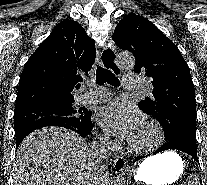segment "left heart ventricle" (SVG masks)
Listing matches in <instances>:
<instances>
[{"mask_svg":"<svg viewBox=\"0 0 207 185\" xmlns=\"http://www.w3.org/2000/svg\"><path fill=\"white\" fill-rule=\"evenodd\" d=\"M154 129L149 127L146 123L136 132V134L130 139L132 144L138 148L145 149L148 143L158 139Z\"/></svg>","mask_w":207,"mask_h":185,"instance_id":"obj_1","label":"left heart ventricle"}]
</instances>
